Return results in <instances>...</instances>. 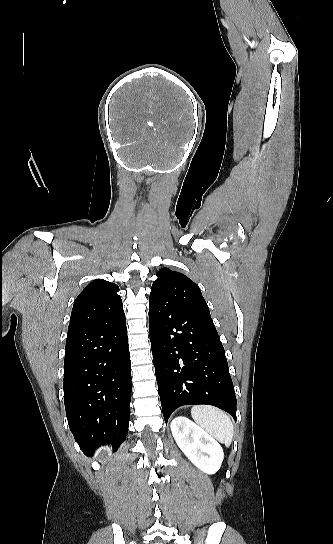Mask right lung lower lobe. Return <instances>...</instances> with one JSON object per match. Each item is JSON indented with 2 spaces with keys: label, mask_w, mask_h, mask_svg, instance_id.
Wrapping results in <instances>:
<instances>
[{
  "label": "right lung lower lobe",
  "mask_w": 333,
  "mask_h": 544,
  "mask_svg": "<svg viewBox=\"0 0 333 544\" xmlns=\"http://www.w3.org/2000/svg\"><path fill=\"white\" fill-rule=\"evenodd\" d=\"M63 388L68 424L84 454L125 440L131 361L124 312L68 332Z\"/></svg>",
  "instance_id": "obj_1"
}]
</instances>
